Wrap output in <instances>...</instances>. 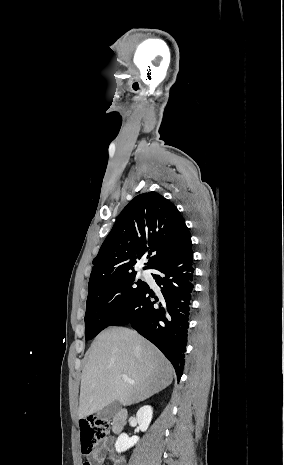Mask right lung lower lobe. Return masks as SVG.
Instances as JSON below:
<instances>
[{
  "label": "right lung lower lobe",
  "instance_id": "98d812e1",
  "mask_svg": "<svg viewBox=\"0 0 284 465\" xmlns=\"http://www.w3.org/2000/svg\"><path fill=\"white\" fill-rule=\"evenodd\" d=\"M153 269L159 271L152 276L161 289L160 298L146 285L110 326L131 324L161 350L174 366L179 380L185 362L194 295L191 238Z\"/></svg>",
  "mask_w": 284,
  "mask_h": 465
}]
</instances>
